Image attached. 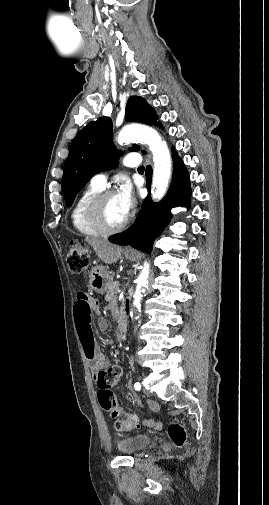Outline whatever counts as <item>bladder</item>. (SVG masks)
Wrapping results in <instances>:
<instances>
[{
    "label": "bladder",
    "instance_id": "31cf9c89",
    "mask_svg": "<svg viewBox=\"0 0 269 505\" xmlns=\"http://www.w3.org/2000/svg\"><path fill=\"white\" fill-rule=\"evenodd\" d=\"M153 442L148 435H136L117 444V449L125 455H137L146 450Z\"/></svg>",
    "mask_w": 269,
    "mask_h": 505
}]
</instances>
